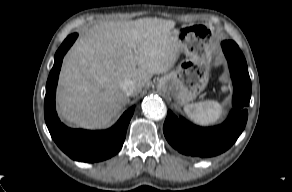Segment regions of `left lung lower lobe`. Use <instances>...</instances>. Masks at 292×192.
Wrapping results in <instances>:
<instances>
[{
  "label": "left lung lower lobe",
  "instance_id": "left-lung-lower-lobe-1",
  "mask_svg": "<svg viewBox=\"0 0 292 192\" xmlns=\"http://www.w3.org/2000/svg\"><path fill=\"white\" fill-rule=\"evenodd\" d=\"M222 49L227 58L234 85L233 106L227 120L218 126L202 128L178 119L168 111L163 126L169 144L180 153L198 157H211L229 149L245 128L251 97V81L247 63L234 41H223Z\"/></svg>",
  "mask_w": 292,
  "mask_h": 192
}]
</instances>
